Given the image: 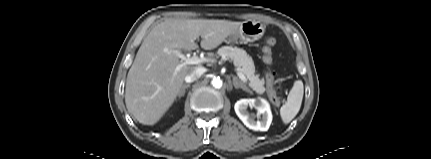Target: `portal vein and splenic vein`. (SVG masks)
Listing matches in <instances>:
<instances>
[{"label": "portal vein and splenic vein", "mask_w": 431, "mask_h": 159, "mask_svg": "<svg viewBox=\"0 0 431 159\" xmlns=\"http://www.w3.org/2000/svg\"><path fill=\"white\" fill-rule=\"evenodd\" d=\"M173 54H175L178 58H180L181 59V61H182V63L181 64H179L177 67H176V69H175V72H174V75H176L177 74V72L182 68V67H184V66H187V65H196V64H200V63H202V62H205L206 61V59L205 58H199L198 56H196V55H193V56H189V55H187V56H185L184 54H182L180 51H178V50H175V51H173ZM237 75H238V77L241 79V81H243L244 83H247V78L245 77V75L241 72V70L239 69V68H237Z\"/></svg>", "instance_id": "1"}]
</instances>
